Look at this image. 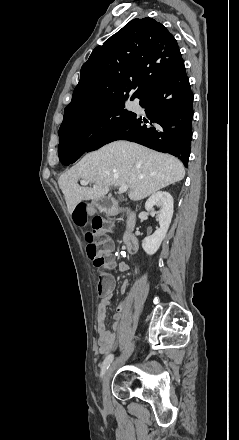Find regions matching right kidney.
Instances as JSON below:
<instances>
[{
	"label": "right kidney",
	"instance_id": "obj_1",
	"mask_svg": "<svg viewBox=\"0 0 239 440\" xmlns=\"http://www.w3.org/2000/svg\"><path fill=\"white\" fill-rule=\"evenodd\" d=\"M154 206L160 208L157 216V222H159L160 228H158L152 236L144 238V242H142V248L149 256H153V254L159 250L169 230L173 216V198L171 194H169V192H155V194H152L145 204V210L150 212L151 216H155L156 214V212H154Z\"/></svg>",
	"mask_w": 239,
	"mask_h": 440
}]
</instances>
